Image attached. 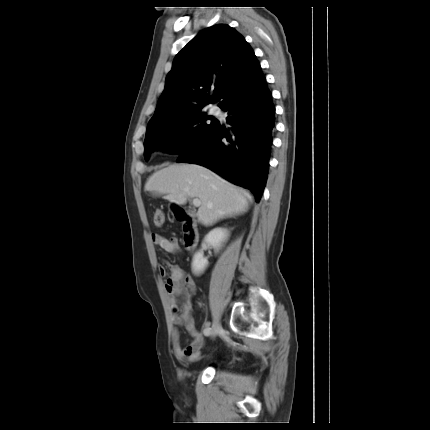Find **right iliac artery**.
Here are the masks:
<instances>
[{
    "label": "right iliac artery",
    "instance_id": "1",
    "mask_svg": "<svg viewBox=\"0 0 430 430\" xmlns=\"http://www.w3.org/2000/svg\"><path fill=\"white\" fill-rule=\"evenodd\" d=\"M211 329L210 328H206L204 331H203V333L206 335V336H208V335H210V333H211V331H210Z\"/></svg>",
    "mask_w": 430,
    "mask_h": 430
}]
</instances>
